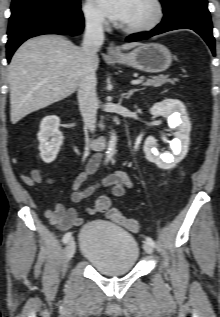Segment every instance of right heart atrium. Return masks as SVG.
Listing matches in <instances>:
<instances>
[{"label":"right heart atrium","mask_w":220,"mask_h":317,"mask_svg":"<svg viewBox=\"0 0 220 317\" xmlns=\"http://www.w3.org/2000/svg\"><path fill=\"white\" fill-rule=\"evenodd\" d=\"M84 19L88 26L102 29L106 27L107 21L98 8L90 1L86 0L82 6Z\"/></svg>","instance_id":"obj_1"}]
</instances>
